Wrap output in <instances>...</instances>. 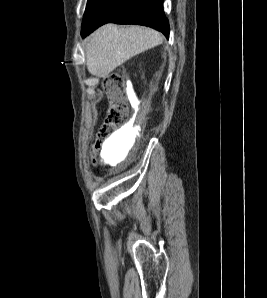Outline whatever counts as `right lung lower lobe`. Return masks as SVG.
<instances>
[{"mask_svg":"<svg viewBox=\"0 0 267 298\" xmlns=\"http://www.w3.org/2000/svg\"><path fill=\"white\" fill-rule=\"evenodd\" d=\"M109 22L149 26L169 38V23L163 11V0H106L94 18L82 24L81 35L85 37Z\"/></svg>","mask_w":267,"mask_h":298,"instance_id":"1","label":"right lung lower lobe"}]
</instances>
